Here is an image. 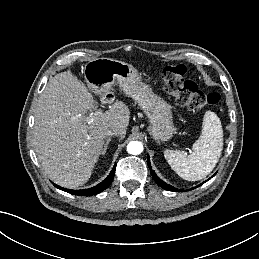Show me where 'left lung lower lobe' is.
<instances>
[{"instance_id":"0a47b994","label":"left lung lower lobe","mask_w":259,"mask_h":259,"mask_svg":"<svg viewBox=\"0 0 259 259\" xmlns=\"http://www.w3.org/2000/svg\"><path fill=\"white\" fill-rule=\"evenodd\" d=\"M148 166L150 168V173L152 175V177L154 178L155 182L161 186L162 188L166 189V190H169V191H174V192H181V190H178L177 188H174L173 186L165 183L164 181H162L156 174L155 172L151 169V165H150V159H149V156H148ZM200 186V185H199ZM196 188V187H194ZM192 188V189H194Z\"/></svg>"}]
</instances>
